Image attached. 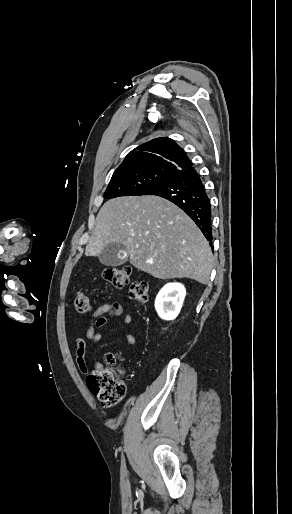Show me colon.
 Instances as JSON below:
<instances>
[{"label":"colon","instance_id":"5ec220e1","mask_svg":"<svg viewBox=\"0 0 292 514\" xmlns=\"http://www.w3.org/2000/svg\"><path fill=\"white\" fill-rule=\"evenodd\" d=\"M101 277L115 288H123L129 281L130 268L126 266L111 267L102 271ZM129 297L137 303H147L149 300L148 284L145 280H135L130 285ZM76 310L79 314H88L91 310L89 297L78 293L75 299ZM121 360L118 353L108 352L104 364L98 370L87 376V386L104 407H114L122 402L126 395L123 380L112 369Z\"/></svg>","mask_w":292,"mask_h":514}]
</instances>
